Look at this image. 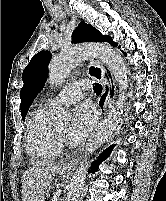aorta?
I'll return each instance as SVG.
<instances>
[{"mask_svg":"<svg viewBox=\"0 0 166 201\" xmlns=\"http://www.w3.org/2000/svg\"><path fill=\"white\" fill-rule=\"evenodd\" d=\"M91 57L100 58L113 73L119 84V96L118 101L90 137L87 144L88 154H86L84 160L80 163L74 173L65 201L80 200L89 165L87 155L89 156V154L96 151L112 136L121 120V115L125 108V100L127 98L129 80L127 77L128 72L126 64L118 52H116L112 47L103 44L76 46L64 50L60 54L54 56L49 64V83L53 86H60L75 66ZM51 116L55 121L60 122L68 119L67 111L59 105L53 106L51 109Z\"/></svg>","mask_w":166,"mask_h":201,"instance_id":"obj_1","label":"aorta"}]
</instances>
